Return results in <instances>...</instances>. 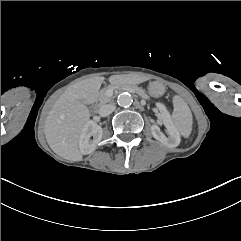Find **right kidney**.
Here are the masks:
<instances>
[{"instance_id": "ca27d5eb", "label": "right kidney", "mask_w": 241, "mask_h": 241, "mask_svg": "<svg viewBox=\"0 0 241 241\" xmlns=\"http://www.w3.org/2000/svg\"><path fill=\"white\" fill-rule=\"evenodd\" d=\"M103 130L96 122L90 120L82 128L79 137V148L83 155L92 153L101 141ZM93 137V139H91Z\"/></svg>"}]
</instances>
